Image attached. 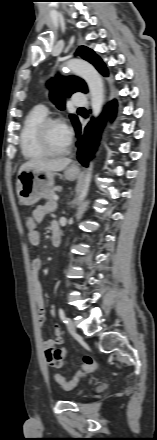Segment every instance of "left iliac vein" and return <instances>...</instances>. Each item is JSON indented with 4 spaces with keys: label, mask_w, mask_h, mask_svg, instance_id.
<instances>
[{
    "label": "left iliac vein",
    "mask_w": 157,
    "mask_h": 440,
    "mask_svg": "<svg viewBox=\"0 0 157 440\" xmlns=\"http://www.w3.org/2000/svg\"><path fill=\"white\" fill-rule=\"evenodd\" d=\"M67 329H68L70 334H75L76 333L75 324H74L73 320L70 319V318H67Z\"/></svg>",
    "instance_id": "left-iliac-vein-1"
}]
</instances>
